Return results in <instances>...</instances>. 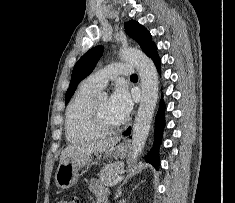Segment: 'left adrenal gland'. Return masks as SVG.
Segmentation results:
<instances>
[{
  "label": "left adrenal gland",
  "instance_id": "obj_1",
  "mask_svg": "<svg viewBox=\"0 0 235 203\" xmlns=\"http://www.w3.org/2000/svg\"><path fill=\"white\" fill-rule=\"evenodd\" d=\"M121 194H122V192H121V186H120L119 189H118V196L120 197Z\"/></svg>",
  "mask_w": 235,
  "mask_h": 203
}]
</instances>
